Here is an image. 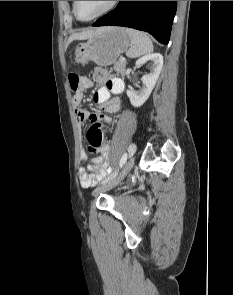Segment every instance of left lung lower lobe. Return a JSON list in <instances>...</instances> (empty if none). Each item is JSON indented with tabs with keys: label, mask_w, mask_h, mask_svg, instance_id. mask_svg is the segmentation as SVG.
I'll return each mask as SVG.
<instances>
[{
	"label": "left lung lower lobe",
	"mask_w": 233,
	"mask_h": 295,
	"mask_svg": "<svg viewBox=\"0 0 233 295\" xmlns=\"http://www.w3.org/2000/svg\"><path fill=\"white\" fill-rule=\"evenodd\" d=\"M177 1H120L118 6L93 26H125L146 31L160 43L170 39Z\"/></svg>",
	"instance_id": "obj_1"
}]
</instances>
